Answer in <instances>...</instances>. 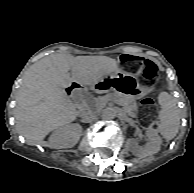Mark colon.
I'll return each instance as SVG.
<instances>
[{
	"label": "colon",
	"mask_w": 194,
	"mask_h": 193,
	"mask_svg": "<svg viewBox=\"0 0 194 193\" xmlns=\"http://www.w3.org/2000/svg\"><path fill=\"white\" fill-rule=\"evenodd\" d=\"M122 64L127 71L139 74L145 83L153 82L156 79V66L148 60L136 56H125L122 60ZM153 105L154 101L151 97H145L142 100V106L145 109L146 119H154L156 117Z\"/></svg>",
	"instance_id": "1"
}]
</instances>
